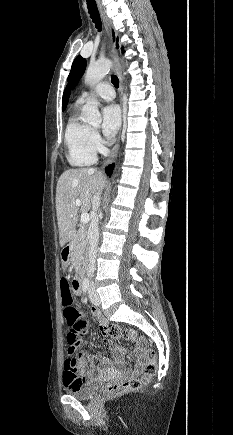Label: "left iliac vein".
Instances as JSON below:
<instances>
[{"instance_id":"obj_1","label":"left iliac vein","mask_w":233,"mask_h":435,"mask_svg":"<svg viewBox=\"0 0 233 435\" xmlns=\"http://www.w3.org/2000/svg\"><path fill=\"white\" fill-rule=\"evenodd\" d=\"M89 297H90V300H91V302L94 304V305H99L100 304V297H99V295L96 293V291H95V288H94V285H90V287H89Z\"/></svg>"}]
</instances>
